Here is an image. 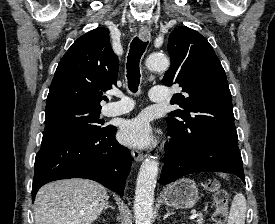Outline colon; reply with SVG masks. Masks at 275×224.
Returning <instances> with one entry per match:
<instances>
[{
    "label": "colon",
    "mask_w": 275,
    "mask_h": 224,
    "mask_svg": "<svg viewBox=\"0 0 275 224\" xmlns=\"http://www.w3.org/2000/svg\"><path fill=\"white\" fill-rule=\"evenodd\" d=\"M205 186L213 195L215 206L213 222L214 224H224L227 219L228 193L220 187L219 182L215 179H208L205 182Z\"/></svg>",
    "instance_id": "colon-1"
}]
</instances>
